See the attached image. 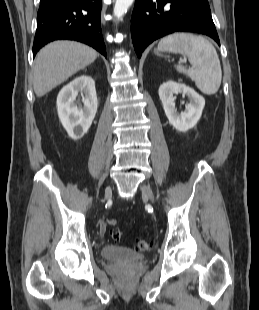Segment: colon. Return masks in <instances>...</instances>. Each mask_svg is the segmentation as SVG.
Instances as JSON below:
<instances>
[{"instance_id": "colon-1", "label": "colon", "mask_w": 259, "mask_h": 310, "mask_svg": "<svg viewBox=\"0 0 259 310\" xmlns=\"http://www.w3.org/2000/svg\"><path fill=\"white\" fill-rule=\"evenodd\" d=\"M107 226L111 227L110 235L114 241H120L122 238V232L116 228V220L109 219L105 223ZM152 242L148 240H138L134 244V250L142 252L147 251L151 248Z\"/></svg>"}]
</instances>
